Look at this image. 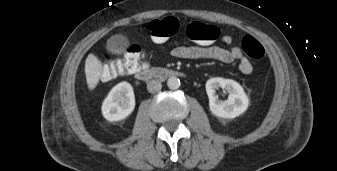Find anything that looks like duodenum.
<instances>
[{
  "label": "duodenum",
  "instance_id": "obj_1",
  "mask_svg": "<svg viewBox=\"0 0 337 171\" xmlns=\"http://www.w3.org/2000/svg\"><path fill=\"white\" fill-rule=\"evenodd\" d=\"M180 75L181 73L177 70L162 67L142 68L135 73V77L141 81H149L152 79L165 81L169 78L177 77Z\"/></svg>",
  "mask_w": 337,
  "mask_h": 171
}]
</instances>
